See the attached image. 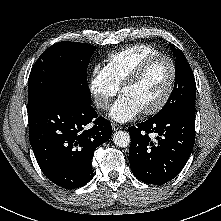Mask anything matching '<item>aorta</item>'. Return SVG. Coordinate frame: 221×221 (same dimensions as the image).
<instances>
[{
	"label": "aorta",
	"instance_id": "762f6f07",
	"mask_svg": "<svg viewBox=\"0 0 221 221\" xmlns=\"http://www.w3.org/2000/svg\"><path fill=\"white\" fill-rule=\"evenodd\" d=\"M112 139L114 144L119 147H127L131 141L129 133L125 131H116Z\"/></svg>",
	"mask_w": 221,
	"mask_h": 221
}]
</instances>
